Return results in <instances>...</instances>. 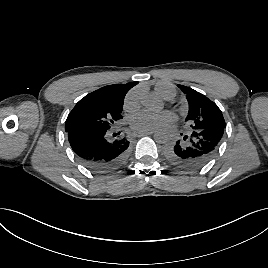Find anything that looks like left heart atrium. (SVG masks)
Instances as JSON below:
<instances>
[{
    "label": "left heart atrium",
    "mask_w": 268,
    "mask_h": 268,
    "mask_svg": "<svg viewBox=\"0 0 268 268\" xmlns=\"http://www.w3.org/2000/svg\"><path fill=\"white\" fill-rule=\"evenodd\" d=\"M147 119V115L144 112L135 114L131 117V125L133 128H142L145 125ZM157 120H159V122L164 125H168L175 121V117L170 112H164L158 116Z\"/></svg>",
    "instance_id": "obj_1"
}]
</instances>
